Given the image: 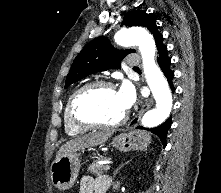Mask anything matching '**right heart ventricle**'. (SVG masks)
<instances>
[{
	"label": "right heart ventricle",
	"mask_w": 221,
	"mask_h": 193,
	"mask_svg": "<svg viewBox=\"0 0 221 193\" xmlns=\"http://www.w3.org/2000/svg\"><path fill=\"white\" fill-rule=\"evenodd\" d=\"M72 95L69 97V99L66 103L65 109H64V128H65V132L69 136H77V135H80V134H83L84 132H86L87 128L80 127V126L76 125L70 117L69 102H70Z\"/></svg>",
	"instance_id": "obj_1"
}]
</instances>
